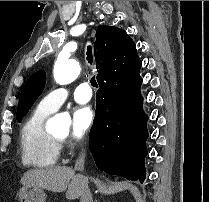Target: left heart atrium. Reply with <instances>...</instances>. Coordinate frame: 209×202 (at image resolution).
<instances>
[{
    "mask_svg": "<svg viewBox=\"0 0 209 202\" xmlns=\"http://www.w3.org/2000/svg\"><path fill=\"white\" fill-rule=\"evenodd\" d=\"M95 120V111L89 106L78 107L72 114L71 136L80 141L88 132Z\"/></svg>",
    "mask_w": 209,
    "mask_h": 202,
    "instance_id": "39dd6f15",
    "label": "left heart atrium"
}]
</instances>
